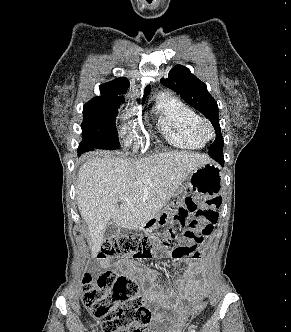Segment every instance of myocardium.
Masks as SVG:
<instances>
[{
    "mask_svg": "<svg viewBox=\"0 0 291 332\" xmlns=\"http://www.w3.org/2000/svg\"><path fill=\"white\" fill-rule=\"evenodd\" d=\"M197 136L204 142L210 141L215 136V130L212 124L205 118H200L195 124Z\"/></svg>",
    "mask_w": 291,
    "mask_h": 332,
    "instance_id": "f54148a6",
    "label": "myocardium"
}]
</instances>
